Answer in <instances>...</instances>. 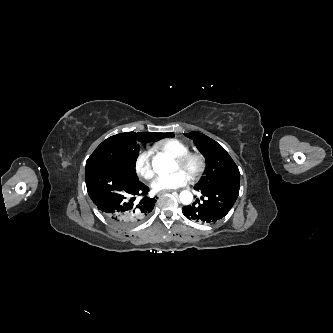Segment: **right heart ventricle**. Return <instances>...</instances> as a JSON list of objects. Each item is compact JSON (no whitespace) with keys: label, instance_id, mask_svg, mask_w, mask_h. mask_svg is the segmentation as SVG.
Returning <instances> with one entry per match:
<instances>
[{"label":"right heart ventricle","instance_id":"right-heart-ventricle-1","mask_svg":"<svg viewBox=\"0 0 333 333\" xmlns=\"http://www.w3.org/2000/svg\"><path fill=\"white\" fill-rule=\"evenodd\" d=\"M155 149L175 159L187 154L189 147L179 139H166L155 144Z\"/></svg>","mask_w":333,"mask_h":333}]
</instances>
